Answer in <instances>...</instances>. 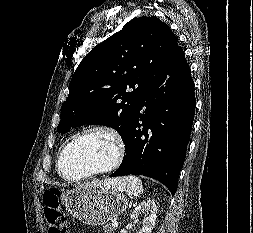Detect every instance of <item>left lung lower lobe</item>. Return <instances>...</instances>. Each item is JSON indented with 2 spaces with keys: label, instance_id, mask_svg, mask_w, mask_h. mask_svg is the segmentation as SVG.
<instances>
[{
  "label": "left lung lower lobe",
  "instance_id": "1",
  "mask_svg": "<svg viewBox=\"0 0 253 233\" xmlns=\"http://www.w3.org/2000/svg\"><path fill=\"white\" fill-rule=\"evenodd\" d=\"M194 82L183 49L173 52L163 77L132 116L123 138L125 155L110 177L144 175L175 194L195 111Z\"/></svg>",
  "mask_w": 253,
  "mask_h": 233
}]
</instances>
